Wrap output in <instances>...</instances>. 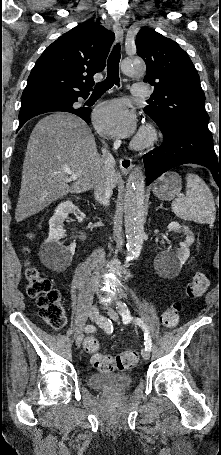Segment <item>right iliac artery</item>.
Returning a JSON list of instances; mask_svg holds the SVG:
<instances>
[{
	"label": "right iliac artery",
	"mask_w": 221,
	"mask_h": 455,
	"mask_svg": "<svg viewBox=\"0 0 221 455\" xmlns=\"http://www.w3.org/2000/svg\"><path fill=\"white\" fill-rule=\"evenodd\" d=\"M100 326H101L102 331L106 333L107 337H110L111 334L114 333V330L112 329L111 325H109L108 321H101ZM85 332H87V333L90 332L91 334H94L96 332L95 327L93 325H87L85 327Z\"/></svg>",
	"instance_id": "1"
}]
</instances>
